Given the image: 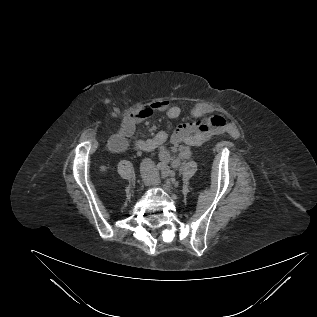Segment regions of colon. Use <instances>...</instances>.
<instances>
[{"label":"colon","mask_w":317,"mask_h":317,"mask_svg":"<svg viewBox=\"0 0 317 317\" xmlns=\"http://www.w3.org/2000/svg\"><path fill=\"white\" fill-rule=\"evenodd\" d=\"M154 110L155 109L153 107L143 108L139 112L134 114V118L135 119L147 118V117H149V116H151L153 114Z\"/></svg>","instance_id":"obj_1"}]
</instances>
